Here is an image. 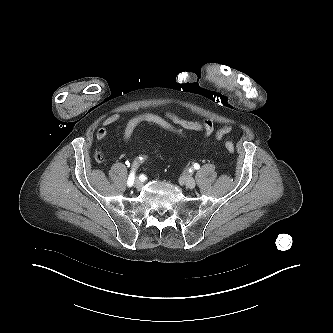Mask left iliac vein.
Segmentation results:
<instances>
[{
    "instance_id": "left-iliac-vein-1",
    "label": "left iliac vein",
    "mask_w": 333,
    "mask_h": 333,
    "mask_svg": "<svg viewBox=\"0 0 333 333\" xmlns=\"http://www.w3.org/2000/svg\"><path fill=\"white\" fill-rule=\"evenodd\" d=\"M180 183L185 185L189 189H193L196 186V182L193 177L188 174H184L180 178Z\"/></svg>"
}]
</instances>
